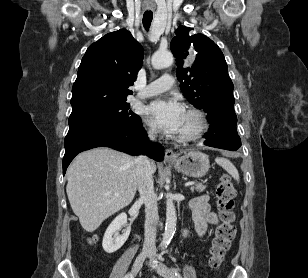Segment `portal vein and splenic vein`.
Masks as SVG:
<instances>
[{
    "label": "portal vein and splenic vein",
    "mask_w": 308,
    "mask_h": 278,
    "mask_svg": "<svg viewBox=\"0 0 308 278\" xmlns=\"http://www.w3.org/2000/svg\"><path fill=\"white\" fill-rule=\"evenodd\" d=\"M194 184H195L194 182H187V183L185 184V186L188 187V186H192V185H194Z\"/></svg>",
    "instance_id": "1"
}]
</instances>
